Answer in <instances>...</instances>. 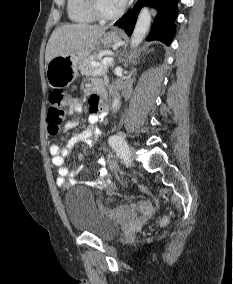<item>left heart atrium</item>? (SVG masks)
Segmentation results:
<instances>
[{
	"label": "left heart atrium",
	"instance_id": "obj_1",
	"mask_svg": "<svg viewBox=\"0 0 233 284\" xmlns=\"http://www.w3.org/2000/svg\"><path fill=\"white\" fill-rule=\"evenodd\" d=\"M115 1L120 7L125 5L128 2V0H115Z\"/></svg>",
	"mask_w": 233,
	"mask_h": 284
}]
</instances>
